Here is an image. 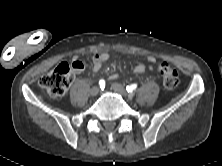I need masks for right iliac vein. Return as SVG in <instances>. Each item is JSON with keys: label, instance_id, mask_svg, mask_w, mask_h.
I'll return each instance as SVG.
<instances>
[{"label": "right iliac vein", "instance_id": "obj_1", "mask_svg": "<svg viewBox=\"0 0 222 166\" xmlns=\"http://www.w3.org/2000/svg\"><path fill=\"white\" fill-rule=\"evenodd\" d=\"M99 91H100L99 87L94 86V87L91 88L90 94H91L92 96H96V95L99 93Z\"/></svg>", "mask_w": 222, "mask_h": 166}]
</instances>
